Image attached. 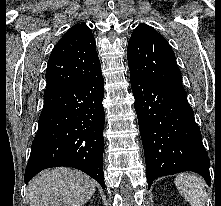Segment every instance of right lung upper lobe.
Returning <instances> with one entry per match:
<instances>
[{"instance_id": "right-lung-upper-lobe-1", "label": "right lung upper lobe", "mask_w": 221, "mask_h": 206, "mask_svg": "<svg viewBox=\"0 0 221 206\" xmlns=\"http://www.w3.org/2000/svg\"><path fill=\"white\" fill-rule=\"evenodd\" d=\"M95 46L93 34L85 23L71 27L49 57L44 96L68 87L100 69Z\"/></svg>"}]
</instances>
